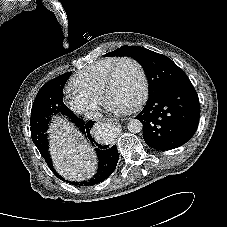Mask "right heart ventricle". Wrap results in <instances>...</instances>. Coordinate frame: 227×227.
Wrapping results in <instances>:
<instances>
[{
    "label": "right heart ventricle",
    "instance_id": "obj_1",
    "mask_svg": "<svg viewBox=\"0 0 227 227\" xmlns=\"http://www.w3.org/2000/svg\"><path fill=\"white\" fill-rule=\"evenodd\" d=\"M118 59V57L102 58L85 67L71 80L74 91L101 99L104 81Z\"/></svg>",
    "mask_w": 227,
    "mask_h": 227
}]
</instances>
